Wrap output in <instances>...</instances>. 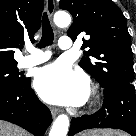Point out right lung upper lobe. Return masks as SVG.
<instances>
[{"mask_svg":"<svg viewBox=\"0 0 136 136\" xmlns=\"http://www.w3.org/2000/svg\"><path fill=\"white\" fill-rule=\"evenodd\" d=\"M42 9L43 0H0V63H17L14 49L34 40Z\"/></svg>","mask_w":136,"mask_h":136,"instance_id":"1","label":"right lung upper lobe"}]
</instances>
